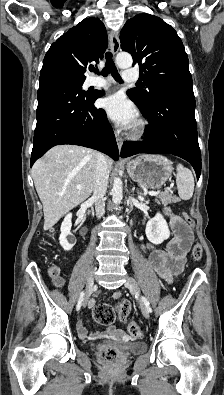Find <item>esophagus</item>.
<instances>
[{
  "label": "esophagus",
  "mask_w": 224,
  "mask_h": 395,
  "mask_svg": "<svg viewBox=\"0 0 224 395\" xmlns=\"http://www.w3.org/2000/svg\"><path fill=\"white\" fill-rule=\"evenodd\" d=\"M109 39H110L111 52L113 55H115L120 49L119 34L117 32L112 31L109 35ZM115 138H116L118 149L121 151L123 146L122 138L118 134H115Z\"/></svg>",
  "instance_id": "34e87169"
}]
</instances>
